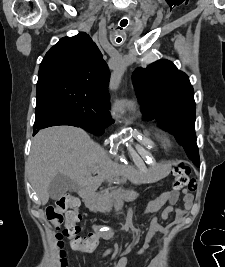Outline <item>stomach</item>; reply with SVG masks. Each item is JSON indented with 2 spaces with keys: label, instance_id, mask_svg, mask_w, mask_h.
Listing matches in <instances>:
<instances>
[{
  "label": "stomach",
  "instance_id": "0dacf381",
  "mask_svg": "<svg viewBox=\"0 0 225 267\" xmlns=\"http://www.w3.org/2000/svg\"><path fill=\"white\" fill-rule=\"evenodd\" d=\"M169 168L167 166H164L162 169V174H166L168 172Z\"/></svg>",
  "mask_w": 225,
  "mask_h": 267
}]
</instances>
